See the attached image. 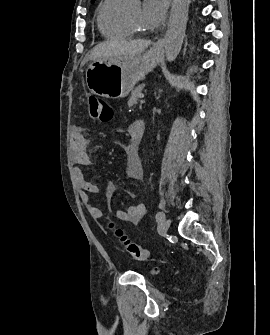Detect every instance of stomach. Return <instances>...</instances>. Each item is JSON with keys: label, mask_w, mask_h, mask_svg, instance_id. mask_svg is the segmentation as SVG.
Instances as JSON below:
<instances>
[{"label": "stomach", "mask_w": 270, "mask_h": 335, "mask_svg": "<svg viewBox=\"0 0 270 335\" xmlns=\"http://www.w3.org/2000/svg\"><path fill=\"white\" fill-rule=\"evenodd\" d=\"M162 54V48H150L146 54L95 60L86 70L87 88L101 98H126L158 66Z\"/></svg>", "instance_id": "obj_1"}]
</instances>
